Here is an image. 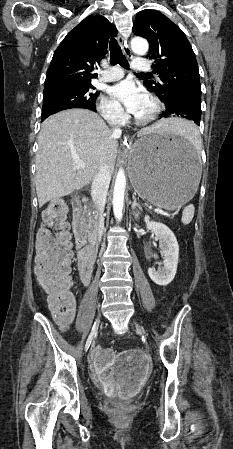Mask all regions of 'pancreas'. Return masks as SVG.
<instances>
[{
  "label": "pancreas",
  "instance_id": "pancreas-1",
  "mask_svg": "<svg viewBox=\"0 0 233 449\" xmlns=\"http://www.w3.org/2000/svg\"><path fill=\"white\" fill-rule=\"evenodd\" d=\"M92 217H91V219H92V222L95 224L96 222H97V215L95 214V212H92Z\"/></svg>",
  "mask_w": 233,
  "mask_h": 449
}]
</instances>
